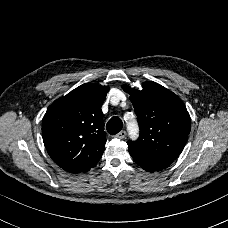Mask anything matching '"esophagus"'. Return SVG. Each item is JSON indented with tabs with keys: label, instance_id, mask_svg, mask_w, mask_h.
I'll use <instances>...</instances> for the list:
<instances>
[{
	"label": "esophagus",
	"instance_id": "1",
	"mask_svg": "<svg viewBox=\"0 0 228 228\" xmlns=\"http://www.w3.org/2000/svg\"><path fill=\"white\" fill-rule=\"evenodd\" d=\"M126 137V132L125 131H120L115 135V138L117 139H124Z\"/></svg>",
	"mask_w": 228,
	"mask_h": 228
}]
</instances>
